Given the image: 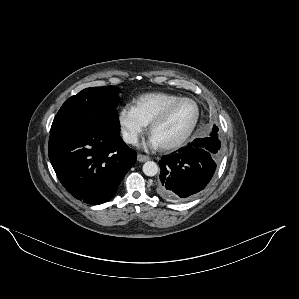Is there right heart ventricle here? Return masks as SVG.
Instances as JSON below:
<instances>
[{"mask_svg": "<svg viewBox=\"0 0 299 299\" xmlns=\"http://www.w3.org/2000/svg\"><path fill=\"white\" fill-rule=\"evenodd\" d=\"M180 96L166 92H150L136 97L131 107L138 117L147 125L169 103L177 100Z\"/></svg>", "mask_w": 299, "mask_h": 299, "instance_id": "obj_1", "label": "right heart ventricle"}]
</instances>
